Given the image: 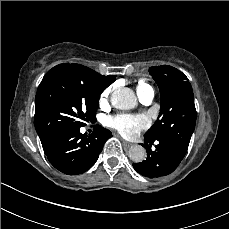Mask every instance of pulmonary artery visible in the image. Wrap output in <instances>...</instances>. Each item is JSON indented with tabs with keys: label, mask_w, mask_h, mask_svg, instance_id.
<instances>
[{
	"label": "pulmonary artery",
	"mask_w": 229,
	"mask_h": 229,
	"mask_svg": "<svg viewBox=\"0 0 229 229\" xmlns=\"http://www.w3.org/2000/svg\"><path fill=\"white\" fill-rule=\"evenodd\" d=\"M140 101L144 104V105H149L153 102L154 99V90H148L147 92L143 93V94H138Z\"/></svg>",
	"instance_id": "pulmonary-artery-1"
}]
</instances>
